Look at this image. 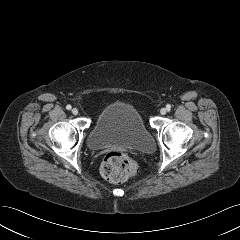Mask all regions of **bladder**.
I'll use <instances>...</instances> for the list:
<instances>
[{
	"instance_id": "31cf9c89",
	"label": "bladder",
	"mask_w": 240,
	"mask_h": 240,
	"mask_svg": "<svg viewBox=\"0 0 240 240\" xmlns=\"http://www.w3.org/2000/svg\"><path fill=\"white\" fill-rule=\"evenodd\" d=\"M87 143L92 150L109 146L134 148L144 152L154 149L153 137L139 111L127 103L106 106L97 116Z\"/></svg>"
}]
</instances>
